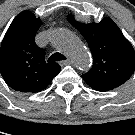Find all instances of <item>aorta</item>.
Listing matches in <instances>:
<instances>
[{
    "label": "aorta",
    "mask_w": 135,
    "mask_h": 135,
    "mask_svg": "<svg viewBox=\"0 0 135 135\" xmlns=\"http://www.w3.org/2000/svg\"><path fill=\"white\" fill-rule=\"evenodd\" d=\"M51 44L66 53L76 67L88 70L91 66V56L82 42L68 29L57 28L50 37Z\"/></svg>",
    "instance_id": "aorta-1"
}]
</instances>
